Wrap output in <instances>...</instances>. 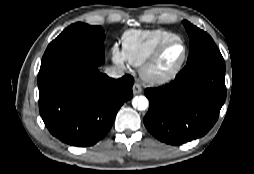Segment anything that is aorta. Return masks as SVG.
<instances>
[{
    "instance_id": "1",
    "label": "aorta",
    "mask_w": 254,
    "mask_h": 174,
    "mask_svg": "<svg viewBox=\"0 0 254 174\" xmlns=\"http://www.w3.org/2000/svg\"><path fill=\"white\" fill-rule=\"evenodd\" d=\"M132 103L140 111L146 110L149 106V101L145 96L135 97Z\"/></svg>"
}]
</instances>
